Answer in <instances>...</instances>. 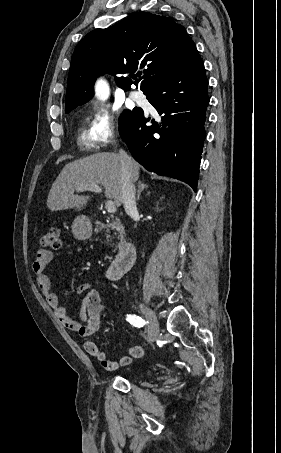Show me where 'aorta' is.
I'll return each instance as SVG.
<instances>
[{
    "label": "aorta",
    "mask_w": 281,
    "mask_h": 453,
    "mask_svg": "<svg viewBox=\"0 0 281 453\" xmlns=\"http://www.w3.org/2000/svg\"><path fill=\"white\" fill-rule=\"evenodd\" d=\"M95 95L97 96V98L101 101H105L108 99L109 95H110V88H109V85L108 83L100 78L96 81V84H95Z\"/></svg>",
    "instance_id": "762f6f07"
}]
</instances>
